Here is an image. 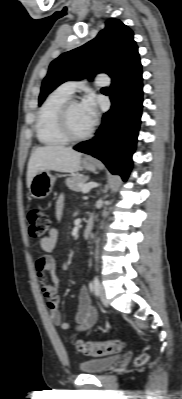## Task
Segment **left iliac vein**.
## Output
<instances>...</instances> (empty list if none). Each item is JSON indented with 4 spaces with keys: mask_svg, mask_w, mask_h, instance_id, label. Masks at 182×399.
I'll use <instances>...</instances> for the list:
<instances>
[{
    "mask_svg": "<svg viewBox=\"0 0 182 399\" xmlns=\"http://www.w3.org/2000/svg\"><path fill=\"white\" fill-rule=\"evenodd\" d=\"M99 296H100V300L102 301V303L105 306H107L108 305V300L106 298V292H105V288L103 286H100Z\"/></svg>",
    "mask_w": 182,
    "mask_h": 399,
    "instance_id": "4c4485c4",
    "label": "left iliac vein"
}]
</instances>
